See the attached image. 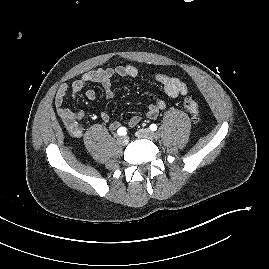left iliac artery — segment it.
<instances>
[{
    "label": "left iliac artery",
    "mask_w": 269,
    "mask_h": 269,
    "mask_svg": "<svg viewBox=\"0 0 269 269\" xmlns=\"http://www.w3.org/2000/svg\"><path fill=\"white\" fill-rule=\"evenodd\" d=\"M150 130L151 131H156L157 130V125L156 124H151L150 125Z\"/></svg>",
    "instance_id": "obj_1"
}]
</instances>
